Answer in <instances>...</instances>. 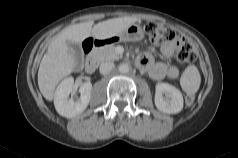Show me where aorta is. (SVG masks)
Returning <instances> with one entry per match:
<instances>
[{
    "instance_id": "obj_1",
    "label": "aorta",
    "mask_w": 238,
    "mask_h": 158,
    "mask_svg": "<svg viewBox=\"0 0 238 158\" xmlns=\"http://www.w3.org/2000/svg\"><path fill=\"white\" fill-rule=\"evenodd\" d=\"M129 70H130L129 64L122 63V64L119 65V72L120 73L126 74V73L129 72Z\"/></svg>"
}]
</instances>
